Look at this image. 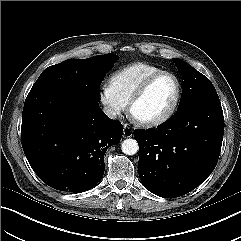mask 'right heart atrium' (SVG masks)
<instances>
[{
  "instance_id": "d8ad5b80",
  "label": "right heart atrium",
  "mask_w": 241,
  "mask_h": 241,
  "mask_svg": "<svg viewBox=\"0 0 241 241\" xmlns=\"http://www.w3.org/2000/svg\"><path fill=\"white\" fill-rule=\"evenodd\" d=\"M99 99L110 117H118L127 109L125 102L110 83H104L99 90Z\"/></svg>"
}]
</instances>
